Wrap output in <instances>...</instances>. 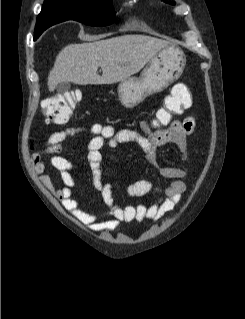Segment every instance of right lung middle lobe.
Instances as JSON below:
<instances>
[{
  "mask_svg": "<svg viewBox=\"0 0 245 319\" xmlns=\"http://www.w3.org/2000/svg\"><path fill=\"white\" fill-rule=\"evenodd\" d=\"M49 7L57 23L71 19L91 26H106L113 23L116 14L111 0H54L49 2ZM35 30L41 34L45 28L36 25Z\"/></svg>",
  "mask_w": 245,
  "mask_h": 319,
  "instance_id": "right-lung-middle-lobe-1",
  "label": "right lung middle lobe"
}]
</instances>
